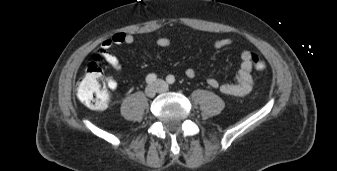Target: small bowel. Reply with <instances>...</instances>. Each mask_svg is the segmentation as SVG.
<instances>
[{
    "label": "small bowel",
    "instance_id": "obj_1",
    "mask_svg": "<svg viewBox=\"0 0 337 171\" xmlns=\"http://www.w3.org/2000/svg\"><path fill=\"white\" fill-rule=\"evenodd\" d=\"M134 42V36L126 32H117L112 36L105 38L99 49L98 54L103 58L106 64L114 71H120L122 69V63L119 58L113 54L110 49L115 45H130ZM155 44L161 48H167L171 45V40L167 37H160L155 41ZM233 44L230 38H221L213 43V47L216 49H221L229 47ZM252 53L250 51H243L240 54V67L237 71L234 82L220 83L217 78L209 77L207 83L210 87L214 89H219L221 93L229 96H245L251 92L254 81L252 76ZM185 75L192 79L196 76V70L194 68H187L185 70ZM107 86L111 90H115L118 86L117 81L108 76L105 79Z\"/></svg>",
    "mask_w": 337,
    "mask_h": 171
}]
</instances>
